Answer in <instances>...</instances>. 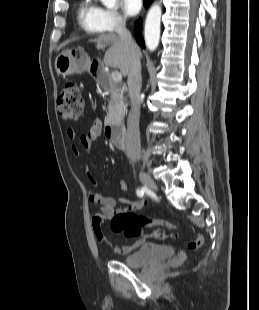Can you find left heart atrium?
Returning <instances> with one entry per match:
<instances>
[{
	"instance_id": "39dd6f15",
	"label": "left heart atrium",
	"mask_w": 259,
	"mask_h": 310,
	"mask_svg": "<svg viewBox=\"0 0 259 310\" xmlns=\"http://www.w3.org/2000/svg\"><path fill=\"white\" fill-rule=\"evenodd\" d=\"M121 4L123 11L128 16L138 14L142 8V0H122Z\"/></svg>"
}]
</instances>
